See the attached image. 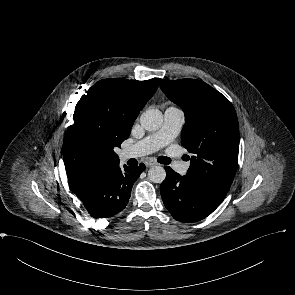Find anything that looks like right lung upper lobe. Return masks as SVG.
Returning <instances> with one entry per match:
<instances>
[{"label":"right lung upper lobe","mask_w":295,"mask_h":295,"mask_svg":"<svg viewBox=\"0 0 295 295\" xmlns=\"http://www.w3.org/2000/svg\"><path fill=\"white\" fill-rule=\"evenodd\" d=\"M123 82L125 94L133 106L141 110L155 93L160 79L153 78L146 81L123 79ZM63 159L72 191L94 170L119 163L115 152L112 153L104 146L85 141L70 127L63 143Z\"/></svg>","instance_id":"obj_1"}]
</instances>
